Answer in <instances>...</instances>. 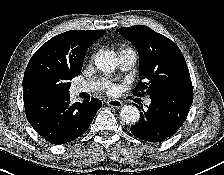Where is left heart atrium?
<instances>
[{
	"label": "left heart atrium",
	"mask_w": 224,
	"mask_h": 175,
	"mask_svg": "<svg viewBox=\"0 0 224 175\" xmlns=\"http://www.w3.org/2000/svg\"><path fill=\"white\" fill-rule=\"evenodd\" d=\"M117 91H118V88L114 85H110L107 87V92L110 94H115L117 93Z\"/></svg>",
	"instance_id": "left-heart-atrium-1"
}]
</instances>
